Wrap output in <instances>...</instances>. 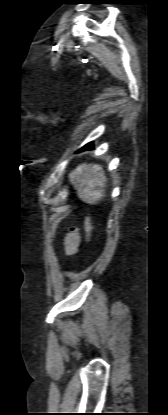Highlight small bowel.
Masks as SVG:
<instances>
[{"label": "small bowel", "mask_w": 168, "mask_h": 415, "mask_svg": "<svg viewBox=\"0 0 168 415\" xmlns=\"http://www.w3.org/2000/svg\"><path fill=\"white\" fill-rule=\"evenodd\" d=\"M80 245V235L78 232H70L63 241L64 251L67 255H75Z\"/></svg>", "instance_id": "obj_1"}]
</instances>
